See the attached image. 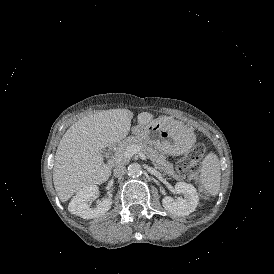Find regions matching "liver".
Wrapping results in <instances>:
<instances>
[{
    "label": "liver",
    "instance_id": "6515ba94",
    "mask_svg": "<svg viewBox=\"0 0 274 274\" xmlns=\"http://www.w3.org/2000/svg\"><path fill=\"white\" fill-rule=\"evenodd\" d=\"M133 113L128 109L97 111L81 118L63 135L57 147L53 182L62 202L79 189L102 184L111 175L100 151L123 140L129 133ZM139 126L153 119L148 112L138 114Z\"/></svg>",
    "mask_w": 274,
    "mask_h": 274
}]
</instances>
